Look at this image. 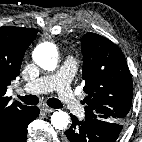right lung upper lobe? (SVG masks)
I'll list each match as a JSON object with an SVG mask.
<instances>
[{
  "mask_svg": "<svg viewBox=\"0 0 142 142\" xmlns=\"http://www.w3.org/2000/svg\"><path fill=\"white\" fill-rule=\"evenodd\" d=\"M37 32L33 28L0 27V139L28 108L20 102L9 103L11 98L5 94L11 80L19 75L25 51Z\"/></svg>",
  "mask_w": 142,
  "mask_h": 142,
  "instance_id": "right-lung-upper-lobe-1",
  "label": "right lung upper lobe"
}]
</instances>
